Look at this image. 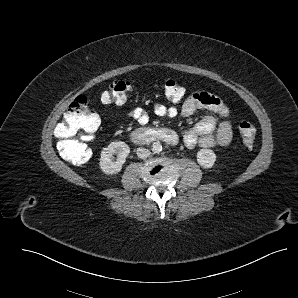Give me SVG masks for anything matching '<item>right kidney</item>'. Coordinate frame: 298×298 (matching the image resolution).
<instances>
[{
  "instance_id": "ca27d5eb",
  "label": "right kidney",
  "mask_w": 298,
  "mask_h": 298,
  "mask_svg": "<svg viewBox=\"0 0 298 298\" xmlns=\"http://www.w3.org/2000/svg\"><path fill=\"white\" fill-rule=\"evenodd\" d=\"M130 153L129 146L122 141L111 142L101 151L100 168L105 174H116L121 171L122 165L125 163ZM114 155L116 159L114 160Z\"/></svg>"
}]
</instances>
